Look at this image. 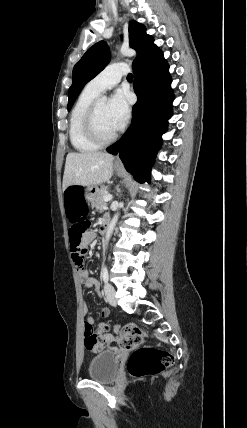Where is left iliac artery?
<instances>
[{"label": "left iliac artery", "mask_w": 247, "mask_h": 428, "mask_svg": "<svg viewBox=\"0 0 247 428\" xmlns=\"http://www.w3.org/2000/svg\"><path fill=\"white\" fill-rule=\"evenodd\" d=\"M102 278H103L104 282H108L109 275H108L107 267L105 265H104L103 270H102Z\"/></svg>", "instance_id": "44dca946"}]
</instances>
